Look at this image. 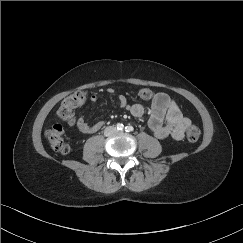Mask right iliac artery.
Instances as JSON below:
<instances>
[{"label": "right iliac artery", "instance_id": "1", "mask_svg": "<svg viewBox=\"0 0 243 243\" xmlns=\"http://www.w3.org/2000/svg\"><path fill=\"white\" fill-rule=\"evenodd\" d=\"M123 127H124V125H123L122 123H118V124L116 125L117 130H122Z\"/></svg>", "mask_w": 243, "mask_h": 243}]
</instances>
